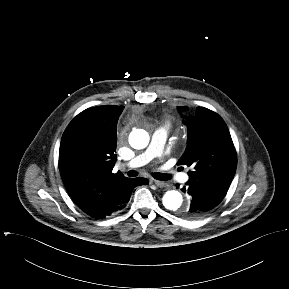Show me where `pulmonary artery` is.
Segmentation results:
<instances>
[{
  "label": "pulmonary artery",
  "mask_w": 289,
  "mask_h": 289,
  "mask_svg": "<svg viewBox=\"0 0 289 289\" xmlns=\"http://www.w3.org/2000/svg\"><path fill=\"white\" fill-rule=\"evenodd\" d=\"M168 134L166 126L159 127L152 134L149 146L127 164L131 168L140 167L156 157H161L163 154L164 145ZM177 178L181 181L188 179L187 174H180Z\"/></svg>",
  "instance_id": "e3ab8cb5"
}]
</instances>
